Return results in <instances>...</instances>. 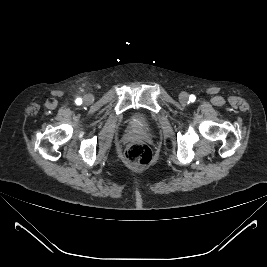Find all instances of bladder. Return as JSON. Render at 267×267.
<instances>
[{
    "mask_svg": "<svg viewBox=\"0 0 267 267\" xmlns=\"http://www.w3.org/2000/svg\"><path fill=\"white\" fill-rule=\"evenodd\" d=\"M132 122L136 126H146L148 124V119L143 115H135Z\"/></svg>",
    "mask_w": 267,
    "mask_h": 267,
    "instance_id": "31cf9c89",
    "label": "bladder"
}]
</instances>
